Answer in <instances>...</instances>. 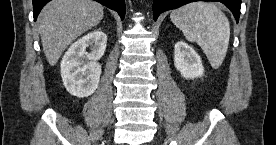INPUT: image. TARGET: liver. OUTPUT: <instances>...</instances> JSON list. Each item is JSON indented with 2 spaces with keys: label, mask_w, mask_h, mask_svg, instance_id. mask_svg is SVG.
I'll return each mask as SVG.
<instances>
[{
  "label": "liver",
  "mask_w": 276,
  "mask_h": 145,
  "mask_svg": "<svg viewBox=\"0 0 276 145\" xmlns=\"http://www.w3.org/2000/svg\"><path fill=\"white\" fill-rule=\"evenodd\" d=\"M103 6L92 0H52L38 18L42 47L54 66L65 49L103 19Z\"/></svg>",
  "instance_id": "1"
}]
</instances>
